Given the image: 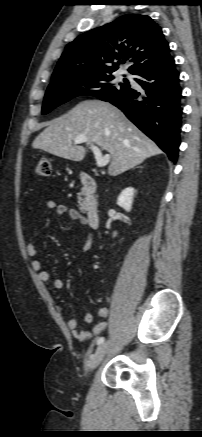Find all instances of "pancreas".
Returning a JSON list of instances; mask_svg holds the SVG:
<instances>
[{"label": "pancreas", "instance_id": "obj_1", "mask_svg": "<svg viewBox=\"0 0 202 437\" xmlns=\"http://www.w3.org/2000/svg\"><path fill=\"white\" fill-rule=\"evenodd\" d=\"M78 204H79V208H80V210H83V207H84V200H83V198H82V193L79 195V197H78Z\"/></svg>", "mask_w": 202, "mask_h": 437}]
</instances>
